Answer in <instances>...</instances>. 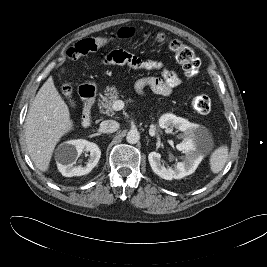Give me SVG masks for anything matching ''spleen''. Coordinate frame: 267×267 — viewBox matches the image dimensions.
Wrapping results in <instances>:
<instances>
[{
	"label": "spleen",
	"instance_id": "1",
	"mask_svg": "<svg viewBox=\"0 0 267 267\" xmlns=\"http://www.w3.org/2000/svg\"><path fill=\"white\" fill-rule=\"evenodd\" d=\"M227 158H228L227 146H220L217 149H215L209 158L211 171L215 174L219 173L223 169L227 161Z\"/></svg>",
	"mask_w": 267,
	"mask_h": 267
}]
</instances>
